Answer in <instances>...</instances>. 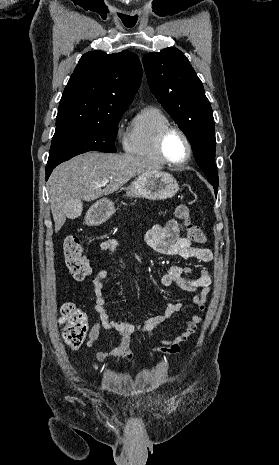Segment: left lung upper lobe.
Wrapping results in <instances>:
<instances>
[{
    "label": "left lung upper lobe",
    "instance_id": "left-lung-upper-lobe-1",
    "mask_svg": "<svg viewBox=\"0 0 279 465\" xmlns=\"http://www.w3.org/2000/svg\"><path fill=\"white\" fill-rule=\"evenodd\" d=\"M143 63L151 91L186 134L196 162L217 194L214 118L200 79L187 57L174 47L146 54Z\"/></svg>",
    "mask_w": 279,
    "mask_h": 465
}]
</instances>
